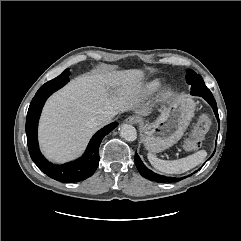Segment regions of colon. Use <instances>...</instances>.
<instances>
[{
    "instance_id": "colon-1",
    "label": "colon",
    "mask_w": 241,
    "mask_h": 241,
    "mask_svg": "<svg viewBox=\"0 0 241 241\" xmlns=\"http://www.w3.org/2000/svg\"><path fill=\"white\" fill-rule=\"evenodd\" d=\"M210 125V117L207 114H202L193 127L191 136L185 142V146L188 150H196L200 148L202 140L208 132Z\"/></svg>"
}]
</instances>
